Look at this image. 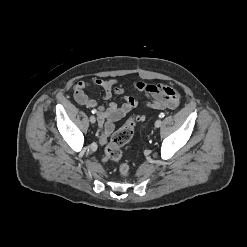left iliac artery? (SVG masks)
<instances>
[{
	"label": "left iliac artery",
	"mask_w": 247,
	"mask_h": 247,
	"mask_svg": "<svg viewBox=\"0 0 247 247\" xmlns=\"http://www.w3.org/2000/svg\"><path fill=\"white\" fill-rule=\"evenodd\" d=\"M164 116H165L164 113H161V114L159 115L160 118H163Z\"/></svg>",
	"instance_id": "1"
}]
</instances>
